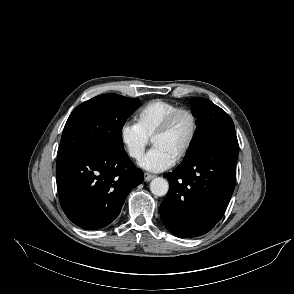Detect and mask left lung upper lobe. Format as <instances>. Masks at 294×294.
Listing matches in <instances>:
<instances>
[{
	"mask_svg": "<svg viewBox=\"0 0 294 294\" xmlns=\"http://www.w3.org/2000/svg\"><path fill=\"white\" fill-rule=\"evenodd\" d=\"M191 109L196 116L197 129L184 161L193 157L202 147L217 138L236 135L230 116L211 101L201 97L191 99Z\"/></svg>",
	"mask_w": 294,
	"mask_h": 294,
	"instance_id": "obj_1",
	"label": "left lung upper lobe"
}]
</instances>
